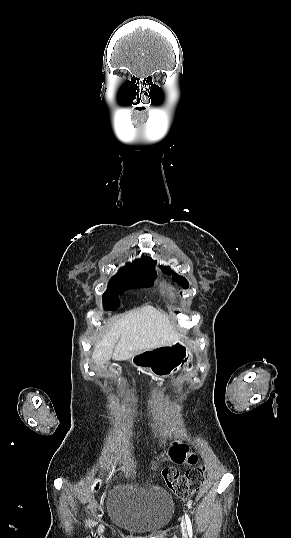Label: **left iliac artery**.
Returning <instances> with one entry per match:
<instances>
[{
  "label": "left iliac artery",
  "instance_id": "obj_1",
  "mask_svg": "<svg viewBox=\"0 0 291 538\" xmlns=\"http://www.w3.org/2000/svg\"><path fill=\"white\" fill-rule=\"evenodd\" d=\"M185 520H186L188 535H189L190 538H192V536H193L192 525H191L190 518H189L188 514H186V513H185Z\"/></svg>",
  "mask_w": 291,
  "mask_h": 538
}]
</instances>
